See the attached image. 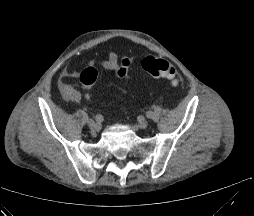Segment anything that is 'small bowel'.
Returning a JSON list of instances; mask_svg holds the SVG:
<instances>
[{
  "instance_id": "small-bowel-1",
  "label": "small bowel",
  "mask_w": 254,
  "mask_h": 216,
  "mask_svg": "<svg viewBox=\"0 0 254 216\" xmlns=\"http://www.w3.org/2000/svg\"><path fill=\"white\" fill-rule=\"evenodd\" d=\"M131 64V59L123 56L120 57L114 52L109 53L105 60L92 63L93 66L99 65L106 70H112L117 79H124L128 77ZM76 78H78L77 72L65 69L58 81V86L65 100L79 103L83 100V95L70 86L66 81L68 79ZM85 97L89 98L90 95L87 94Z\"/></svg>"
}]
</instances>
